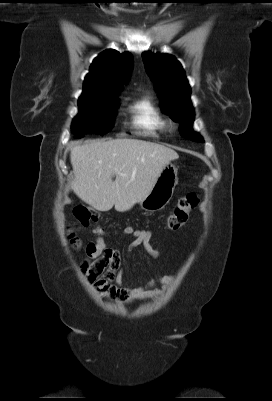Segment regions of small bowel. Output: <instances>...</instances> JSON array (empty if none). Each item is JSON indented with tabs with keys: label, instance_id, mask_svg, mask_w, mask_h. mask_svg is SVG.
Returning a JSON list of instances; mask_svg holds the SVG:
<instances>
[{
	"label": "small bowel",
	"instance_id": "small-bowel-1",
	"mask_svg": "<svg viewBox=\"0 0 272 401\" xmlns=\"http://www.w3.org/2000/svg\"><path fill=\"white\" fill-rule=\"evenodd\" d=\"M122 233L123 236L133 238L132 247H143L150 255H157L150 243L149 231L126 226ZM81 269L99 291L120 302L158 297L174 280L172 275H162L151 279L143 286L134 288L124 286L120 254L117 248L107 246L101 238L87 245L86 258L82 262ZM156 284H160L162 289L155 288Z\"/></svg>",
	"mask_w": 272,
	"mask_h": 401
}]
</instances>
